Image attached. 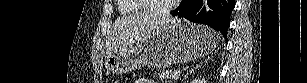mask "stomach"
Here are the masks:
<instances>
[{"label":"stomach","mask_w":307,"mask_h":83,"mask_svg":"<svg viewBox=\"0 0 307 83\" xmlns=\"http://www.w3.org/2000/svg\"><path fill=\"white\" fill-rule=\"evenodd\" d=\"M218 41L216 32L205 26L176 23L144 38L136 46L105 54V65L117 75L143 65L162 68L207 55Z\"/></svg>","instance_id":"0dacf381"}]
</instances>
